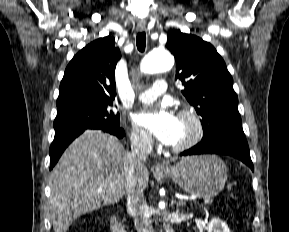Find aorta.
Returning <instances> with one entry per match:
<instances>
[{"label": "aorta", "instance_id": "aorta-1", "mask_svg": "<svg viewBox=\"0 0 289 232\" xmlns=\"http://www.w3.org/2000/svg\"><path fill=\"white\" fill-rule=\"evenodd\" d=\"M174 65V58L166 50H153L141 62V71L154 74L170 70ZM169 231V230H167Z\"/></svg>", "mask_w": 289, "mask_h": 232}]
</instances>
